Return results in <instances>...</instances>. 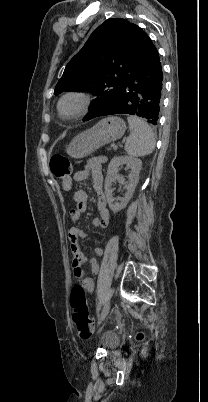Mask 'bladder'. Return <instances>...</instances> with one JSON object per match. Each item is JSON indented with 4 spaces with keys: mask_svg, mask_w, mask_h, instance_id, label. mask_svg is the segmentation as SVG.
I'll return each mask as SVG.
<instances>
[{
    "mask_svg": "<svg viewBox=\"0 0 208 402\" xmlns=\"http://www.w3.org/2000/svg\"><path fill=\"white\" fill-rule=\"evenodd\" d=\"M119 341L120 337L118 335H115L112 332H107L101 342L106 348H114L119 344Z\"/></svg>",
    "mask_w": 208,
    "mask_h": 402,
    "instance_id": "1",
    "label": "bladder"
}]
</instances>
